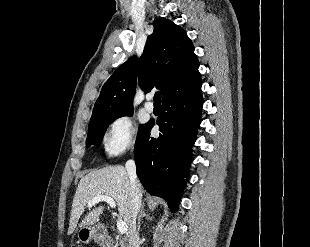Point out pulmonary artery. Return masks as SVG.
Returning a JSON list of instances; mask_svg holds the SVG:
<instances>
[{"label": "pulmonary artery", "mask_w": 310, "mask_h": 247, "mask_svg": "<svg viewBox=\"0 0 310 247\" xmlns=\"http://www.w3.org/2000/svg\"><path fill=\"white\" fill-rule=\"evenodd\" d=\"M152 97H148L147 101L144 104L145 110L149 113L154 111V104L151 101Z\"/></svg>", "instance_id": "pulmonary-artery-1"}]
</instances>
